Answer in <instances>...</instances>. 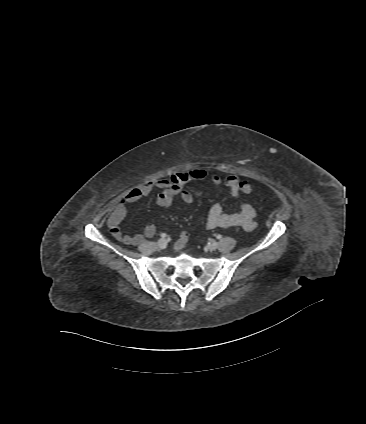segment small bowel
<instances>
[{"mask_svg":"<svg viewBox=\"0 0 366 424\" xmlns=\"http://www.w3.org/2000/svg\"><path fill=\"white\" fill-rule=\"evenodd\" d=\"M205 178L212 184H224L232 198L237 199L241 193V181L236 175H228L221 178L213 172L204 171ZM197 181L192 178L190 172L177 173L168 179H156L141 184L126 193L121 203L114 209L108 219V227L112 236L118 241L127 245H138L145 238L153 237L156 233V226L152 223L144 227L143 233L135 235H125L121 233L120 225L127 214V206L135 203L147 196L153 190H160L156 197V204L161 207H168L173 203L175 196H179L185 203L191 204L194 200L193 194L186 189L190 182ZM256 211L249 203H241L239 210L235 213H226L220 204L213 205L208 213L205 223L207 229L242 227L251 230L255 226ZM188 240L186 232H181L175 243V251H180Z\"/></svg>","mask_w":366,"mask_h":424,"instance_id":"obj_1","label":"small bowel"}]
</instances>
